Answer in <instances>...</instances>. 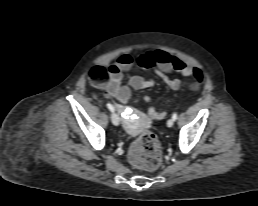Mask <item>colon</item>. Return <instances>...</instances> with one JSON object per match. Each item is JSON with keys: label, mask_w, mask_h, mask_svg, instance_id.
Listing matches in <instances>:
<instances>
[{"label": "colon", "mask_w": 258, "mask_h": 206, "mask_svg": "<svg viewBox=\"0 0 258 206\" xmlns=\"http://www.w3.org/2000/svg\"><path fill=\"white\" fill-rule=\"evenodd\" d=\"M89 77L95 83H103L108 73L103 67H94ZM129 160L137 168L156 169L161 163V145L157 136L149 131L141 134L131 145Z\"/></svg>", "instance_id": "1"}]
</instances>
